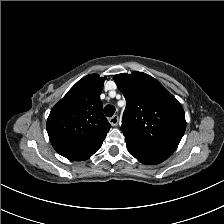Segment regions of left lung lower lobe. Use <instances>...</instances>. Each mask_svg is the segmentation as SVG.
Here are the masks:
<instances>
[{
  "label": "left lung lower lobe",
  "instance_id": "left-lung-lower-lobe-1",
  "mask_svg": "<svg viewBox=\"0 0 224 224\" xmlns=\"http://www.w3.org/2000/svg\"><path fill=\"white\" fill-rule=\"evenodd\" d=\"M126 144L129 153L134 156L138 161L144 164H158L163 162L170 156V154H167L165 152L136 145L129 141H126Z\"/></svg>",
  "mask_w": 224,
  "mask_h": 224
}]
</instances>
